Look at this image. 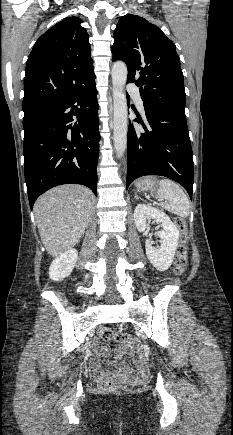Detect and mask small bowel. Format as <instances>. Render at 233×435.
Masks as SVG:
<instances>
[{
  "label": "small bowel",
  "instance_id": "1",
  "mask_svg": "<svg viewBox=\"0 0 233 435\" xmlns=\"http://www.w3.org/2000/svg\"><path fill=\"white\" fill-rule=\"evenodd\" d=\"M114 353L116 356L128 355L130 357L135 358L136 363H137L138 372L141 374H144L147 371V366L143 362V360L141 359L140 353L137 349H134L128 345H121L115 349ZM105 354H106V351L104 349H100V351H98V355L100 357L105 356ZM126 371L131 372L133 370L127 369ZM90 373H91L93 378L100 379L101 377L104 376L105 371L102 369L101 365L98 362H93L90 366Z\"/></svg>",
  "mask_w": 233,
  "mask_h": 435
}]
</instances>
